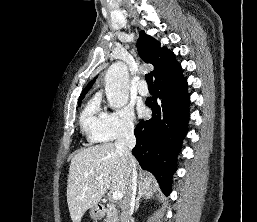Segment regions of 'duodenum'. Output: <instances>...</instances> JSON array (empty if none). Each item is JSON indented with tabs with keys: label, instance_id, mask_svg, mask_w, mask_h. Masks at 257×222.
I'll list each match as a JSON object with an SVG mask.
<instances>
[{
	"label": "duodenum",
	"instance_id": "obj_1",
	"mask_svg": "<svg viewBox=\"0 0 257 222\" xmlns=\"http://www.w3.org/2000/svg\"><path fill=\"white\" fill-rule=\"evenodd\" d=\"M98 211H99L100 215H103V213L105 211L104 206H99Z\"/></svg>",
	"mask_w": 257,
	"mask_h": 222
}]
</instances>
